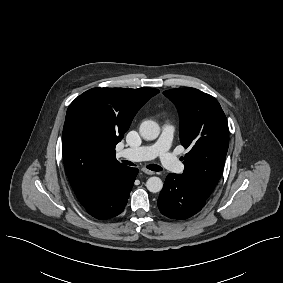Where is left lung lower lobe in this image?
<instances>
[{
  "instance_id": "1",
  "label": "left lung lower lobe",
  "mask_w": 283,
  "mask_h": 283,
  "mask_svg": "<svg viewBox=\"0 0 283 283\" xmlns=\"http://www.w3.org/2000/svg\"><path fill=\"white\" fill-rule=\"evenodd\" d=\"M207 198L200 195L181 174H169L158 198L160 212L168 218L184 220L198 213Z\"/></svg>"
}]
</instances>
